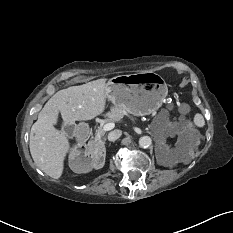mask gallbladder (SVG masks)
<instances>
[{
	"instance_id": "1",
	"label": "gallbladder",
	"mask_w": 233,
	"mask_h": 233,
	"mask_svg": "<svg viewBox=\"0 0 233 233\" xmlns=\"http://www.w3.org/2000/svg\"><path fill=\"white\" fill-rule=\"evenodd\" d=\"M62 130H64L68 135H73L74 127L72 125H63Z\"/></svg>"
}]
</instances>
